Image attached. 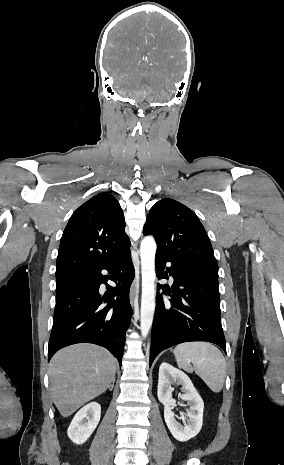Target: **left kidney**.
I'll use <instances>...</instances> for the list:
<instances>
[{"mask_svg": "<svg viewBox=\"0 0 284 465\" xmlns=\"http://www.w3.org/2000/svg\"><path fill=\"white\" fill-rule=\"evenodd\" d=\"M175 381L182 385L185 393L181 397L182 401H188V405H183V407H190L186 413V417H189V419L184 417V427L176 421L175 417L177 415H174L173 411H171L172 407H176V401L172 399L171 389V383H175ZM157 395L160 403L164 405L165 423L174 439L185 443L192 437H196L201 431L203 423L204 403L189 377L179 369L169 365V363H162L159 369Z\"/></svg>", "mask_w": 284, "mask_h": 465, "instance_id": "1", "label": "left kidney"}]
</instances>
